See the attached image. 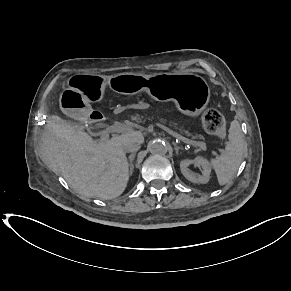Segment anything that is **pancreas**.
Masks as SVG:
<instances>
[{
    "label": "pancreas",
    "mask_w": 291,
    "mask_h": 291,
    "mask_svg": "<svg viewBox=\"0 0 291 291\" xmlns=\"http://www.w3.org/2000/svg\"><path fill=\"white\" fill-rule=\"evenodd\" d=\"M131 120L138 123H144L146 120L158 121L160 123L169 125L172 129L176 130L177 133L181 135L191 137L193 139L199 137V135L192 133L188 129H186L184 125L179 124L176 120L167 118L160 111L155 109L146 110L141 114L137 113L135 115H132Z\"/></svg>",
    "instance_id": "obj_1"
}]
</instances>
